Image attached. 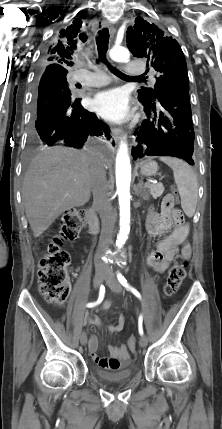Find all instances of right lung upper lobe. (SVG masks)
I'll return each mask as SVG.
<instances>
[{
  "instance_id": "1",
  "label": "right lung upper lobe",
  "mask_w": 222,
  "mask_h": 429,
  "mask_svg": "<svg viewBox=\"0 0 222 429\" xmlns=\"http://www.w3.org/2000/svg\"><path fill=\"white\" fill-rule=\"evenodd\" d=\"M80 27L71 25L62 30L59 39L46 48L44 60L46 66L43 72H52L55 75L67 74L66 65H70V60L79 51L80 43L87 40V36L80 32Z\"/></svg>"
}]
</instances>
